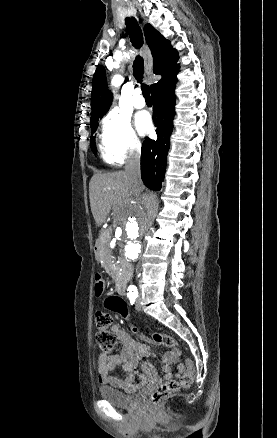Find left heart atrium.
Returning a JSON list of instances; mask_svg holds the SVG:
<instances>
[{
    "label": "left heart atrium",
    "mask_w": 277,
    "mask_h": 438,
    "mask_svg": "<svg viewBox=\"0 0 277 438\" xmlns=\"http://www.w3.org/2000/svg\"><path fill=\"white\" fill-rule=\"evenodd\" d=\"M135 124L140 134L146 135L152 127L151 117L147 112H140L135 117Z\"/></svg>",
    "instance_id": "left-heart-atrium-1"
}]
</instances>
